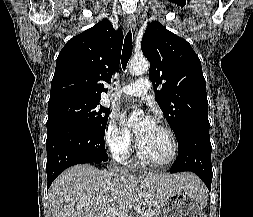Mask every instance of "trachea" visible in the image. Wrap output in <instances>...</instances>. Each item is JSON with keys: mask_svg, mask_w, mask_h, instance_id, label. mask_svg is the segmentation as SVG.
I'll list each match as a JSON object with an SVG mask.
<instances>
[{"mask_svg": "<svg viewBox=\"0 0 253 217\" xmlns=\"http://www.w3.org/2000/svg\"><path fill=\"white\" fill-rule=\"evenodd\" d=\"M132 33L129 31L124 40V46L122 50V68L123 70L126 69L127 63L132 55Z\"/></svg>", "mask_w": 253, "mask_h": 217, "instance_id": "3493384b", "label": "trachea"}]
</instances>
